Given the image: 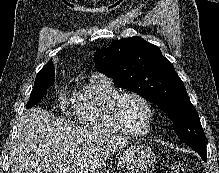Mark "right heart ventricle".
I'll return each mask as SVG.
<instances>
[{
	"label": "right heart ventricle",
	"mask_w": 219,
	"mask_h": 173,
	"mask_svg": "<svg viewBox=\"0 0 219 173\" xmlns=\"http://www.w3.org/2000/svg\"><path fill=\"white\" fill-rule=\"evenodd\" d=\"M119 93L106 77H92L71 105L75 122L94 132L121 135L109 116V103Z\"/></svg>",
	"instance_id": "1"
}]
</instances>
